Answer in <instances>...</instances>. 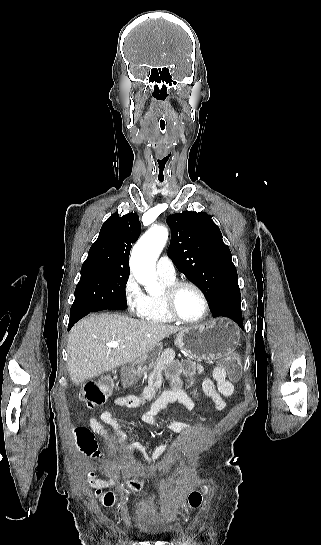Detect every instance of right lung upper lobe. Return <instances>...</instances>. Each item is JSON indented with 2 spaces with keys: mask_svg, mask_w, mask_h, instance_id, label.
<instances>
[{
  "mask_svg": "<svg viewBox=\"0 0 321 545\" xmlns=\"http://www.w3.org/2000/svg\"><path fill=\"white\" fill-rule=\"evenodd\" d=\"M141 231L135 213L111 215L102 225L99 236L91 246L82 269L101 268L110 271H129V254Z\"/></svg>",
  "mask_w": 321,
  "mask_h": 545,
  "instance_id": "obj_1",
  "label": "right lung upper lobe"
}]
</instances>
